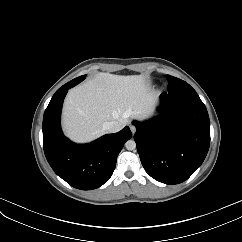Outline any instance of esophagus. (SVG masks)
Segmentation results:
<instances>
[{"label":"esophagus","instance_id":"obj_1","mask_svg":"<svg viewBox=\"0 0 242 242\" xmlns=\"http://www.w3.org/2000/svg\"><path fill=\"white\" fill-rule=\"evenodd\" d=\"M130 129H131V131H132L133 134L136 132V128L134 126L131 125L130 126Z\"/></svg>","mask_w":242,"mask_h":242}]
</instances>
